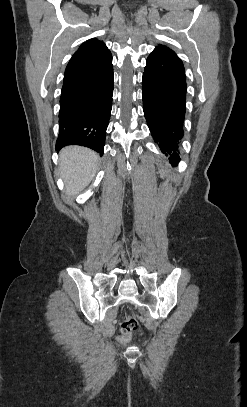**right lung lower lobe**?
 Wrapping results in <instances>:
<instances>
[{
    "mask_svg": "<svg viewBox=\"0 0 247 407\" xmlns=\"http://www.w3.org/2000/svg\"><path fill=\"white\" fill-rule=\"evenodd\" d=\"M112 95V56L65 80L60 97L56 150L75 144L103 155Z\"/></svg>",
    "mask_w": 247,
    "mask_h": 407,
    "instance_id": "obj_1",
    "label": "right lung lower lobe"
}]
</instances>
